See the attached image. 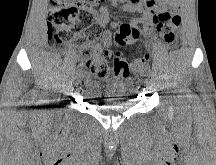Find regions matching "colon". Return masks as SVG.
Instances as JSON below:
<instances>
[{"instance_id": "1", "label": "colon", "mask_w": 216, "mask_h": 165, "mask_svg": "<svg viewBox=\"0 0 216 165\" xmlns=\"http://www.w3.org/2000/svg\"><path fill=\"white\" fill-rule=\"evenodd\" d=\"M104 2L105 0H50L48 22L52 40L56 43H65L71 40L76 31H82L83 43L86 46L80 51L78 58L83 67L96 76H108L111 70L116 74L145 71L148 67L149 54L129 64L118 50L96 51L90 46L98 42L102 34V26L95 21L92 10ZM154 22L165 45L173 47L177 39V30L181 25V17L167 10L156 16ZM137 36L135 28L123 23L115 32V44L117 47H123Z\"/></svg>"}]
</instances>
